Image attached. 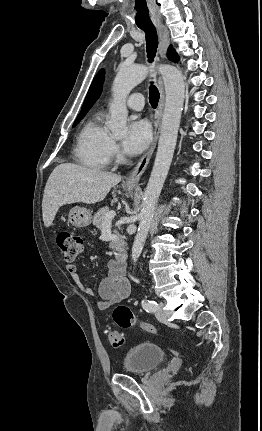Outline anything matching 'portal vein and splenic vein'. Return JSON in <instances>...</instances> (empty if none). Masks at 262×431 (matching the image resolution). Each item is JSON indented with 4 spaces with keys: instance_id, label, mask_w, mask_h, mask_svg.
Wrapping results in <instances>:
<instances>
[{
    "instance_id": "1",
    "label": "portal vein and splenic vein",
    "mask_w": 262,
    "mask_h": 431,
    "mask_svg": "<svg viewBox=\"0 0 262 431\" xmlns=\"http://www.w3.org/2000/svg\"><path fill=\"white\" fill-rule=\"evenodd\" d=\"M115 215H116L115 212H112V211L109 212V213H107L106 217L104 219L103 225H109V224H111L112 219L114 218Z\"/></svg>"
}]
</instances>
